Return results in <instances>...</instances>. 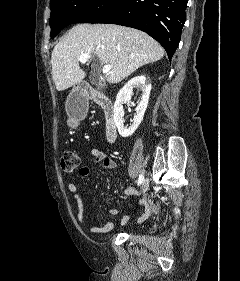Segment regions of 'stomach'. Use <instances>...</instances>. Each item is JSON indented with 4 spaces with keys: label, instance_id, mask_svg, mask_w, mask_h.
<instances>
[{
    "label": "stomach",
    "instance_id": "stomach-1",
    "mask_svg": "<svg viewBox=\"0 0 240 281\" xmlns=\"http://www.w3.org/2000/svg\"><path fill=\"white\" fill-rule=\"evenodd\" d=\"M77 90L78 88H75L71 91L66 103V112L68 115L67 123L71 127L76 126L85 116L84 108L81 106L80 102L75 99Z\"/></svg>",
    "mask_w": 240,
    "mask_h": 281
}]
</instances>
